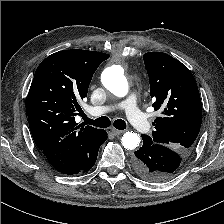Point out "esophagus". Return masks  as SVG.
I'll list each match as a JSON object with an SVG mask.
<instances>
[{"instance_id":"esophagus-1","label":"esophagus","mask_w":224,"mask_h":224,"mask_svg":"<svg viewBox=\"0 0 224 224\" xmlns=\"http://www.w3.org/2000/svg\"><path fill=\"white\" fill-rule=\"evenodd\" d=\"M111 132L113 133V135L117 136V135L122 134L124 132V130H118V129L112 128Z\"/></svg>"}]
</instances>
